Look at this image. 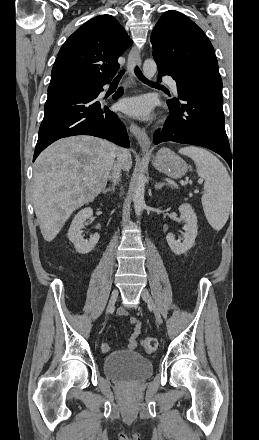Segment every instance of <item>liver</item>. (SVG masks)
<instances>
[{
	"mask_svg": "<svg viewBox=\"0 0 259 440\" xmlns=\"http://www.w3.org/2000/svg\"><path fill=\"white\" fill-rule=\"evenodd\" d=\"M116 158L122 169H131L129 151L88 135L60 139L38 156L33 173V205L47 242L58 235L76 209L104 191Z\"/></svg>",
	"mask_w": 259,
	"mask_h": 440,
	"instance_id": "6515ba94",
	"label": "liver"
}]
</instances>
